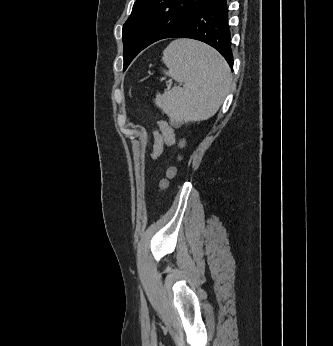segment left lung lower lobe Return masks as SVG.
Instances as JSON below:
<instances>
[{"label":"left lung lower lobe","instance_id":"obj_1","mask_svg":"<svg viewBox=\"0 0 333 346\" xmlns=\"http://www.w3.org/2000/svg\"><path fill=\"white\" fill-rule=\"evenodd\" d=\"M192 38L214 47L233 69L228 6L226 0H205L161 39Z\"/></svg>","mask_w":333,"mask_h":346}]
</instances>
